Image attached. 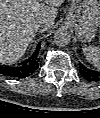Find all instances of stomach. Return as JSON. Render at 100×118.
I'll list each match as a JSON object with an SVG mask.
<instances>
[{
  "instance_id": "obj_1",
  "label": "stomach",
  "mask_w": 100,
  "mask_h": 118,
  "mask_svg": "<svg viewBox=\"0 0 100 118\" xmlns=\"http://www.w3.org/2000/svg\"><path fill=\"white\" fill-rule=\"evenodd\" d=\"M66 20L81 42H91L100 27L99 1L71 0Z\"/></svg>"
}]
</instances>
